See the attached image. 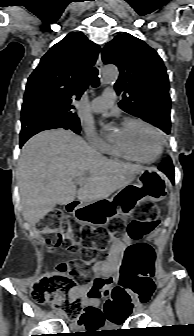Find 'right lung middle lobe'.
I'll return each instance as SVG.
<instances>
[{
    "label": "right lung middle lobe",
    "instance_id": "obj_1",
    "mask_svg": "<svg viewBox=\"0 0 194 336\" xmlns=\"http://www.w3.org/2000/svg\"><path fill=\"white\" fill-rule=\"evenodd\" d=\"M22 128L20 132V141L29 139L40 131L47 129H70L73 132L80 133V121L77 116L65 114H44L33 117L29 121H21Z\"/></svg>",
    "mask_w": 194,
    "mask_h": 336
}]
</instances>
